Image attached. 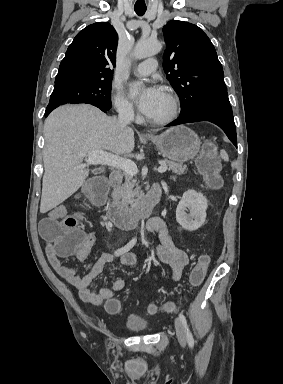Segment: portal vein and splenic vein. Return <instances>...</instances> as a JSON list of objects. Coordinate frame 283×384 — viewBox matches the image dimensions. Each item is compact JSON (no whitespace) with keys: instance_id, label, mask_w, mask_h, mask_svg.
<instances>
[{"instance_id":"portal-vein-and-splenic-vein-1","label":"portal vein and splenic vein","mask_w":283,"mask_h":384,"mask_svg":"<svg viewBox=\"0 0 283 384\" xmlns=\"http://www.w3.org/2000/svg\"><path fill=\"white\" fill-rule=\"evenodd\" d=\"M80 156L86 158L87 164H104V166H112V168L122 170V172H125L128 176H135L138 172L137 166L132 160L120 158V156H114V154H107V152H103V150H91V152L80 154ZM166 170L167 168L164 164H161L160 168H158L160 174H164Z\"/></svg>"}]
</instances>
